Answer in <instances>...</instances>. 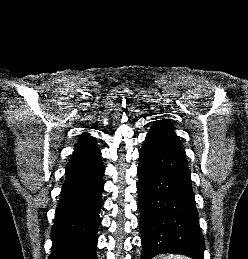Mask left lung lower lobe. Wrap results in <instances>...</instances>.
I'll return each mask as SVG.
<instances>
[{
    "label": "left lung lower lobe",
    "mask_w": 248,
    "mask_h": 259,
    "mask_svg": "<svg viewBox=\"0 0 248 259\" xmlns=\"http://www.w3.org/2000/svg\"><path fill=\"white\" fill-rule=\"evenodd\" d=\"M139 159L141 259L163 253L204 259V239L186 158L166 146L145 140Z\"/></svg>",
    "instance_id": "left-lung-lower-lobe-1"
}]
</instances>
